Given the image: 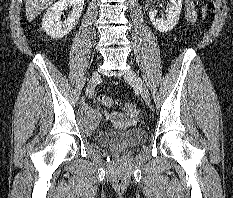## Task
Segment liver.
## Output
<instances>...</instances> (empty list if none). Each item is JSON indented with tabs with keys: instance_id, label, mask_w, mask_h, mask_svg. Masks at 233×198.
<instances>
[{
	"instance_id": "liver-1",
	"label": "liver",
	"mask_w": 233,
	"mask_h": 198,
	"mask_svg": "<svg viewBox=\"0 0 233 198\" xmlns=\"http://www.w3.org/2000/svg\"><path fill=\"white\" fill-rule=\"evenodd\" d=\"M55 1L56 0H24L27 20L29 22L33 21Z\"/></svg>"
}]
</instances>
